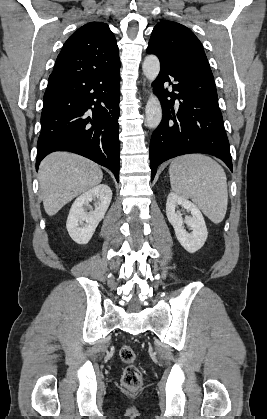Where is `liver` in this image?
Returning a JSON list of instances; mask_svg holds the SVG:
<instances>
[{"mask_svg":"<svg viewBox=\"0 0 267 419\" xmlns=\"http://www.w3.org/2000/svg\"><path fill=\"white\" fill-rule=\"evenodd\" d=\"M103 178L94 162L68 152L48 155L39 167V184L43 205L49 216L55 215L78 195L90 190Z\"/></svg>","mask_w":267,"mask_h":419,"instance_id":"1","label":"liver"}]
</instances>
